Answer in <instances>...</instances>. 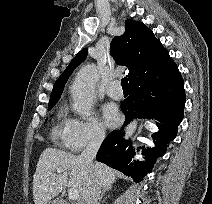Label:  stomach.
Returning a JSON list of instances; mask_svg holds the SVG:
<instances>
[{
    "label": "stomach",
    "mask_w": 212,
    "mask_h": 204,
    "mask_svg": "<svg viewBox=\"0 0 212 204\" xmlns=\"http://www.w3.org/2000/svg\"><path fill=\"white\" fill-rule=\"evenodd\" d=\"M48 204H58L56 200L50 201Z\"/></svg>",
    "instance_id": "stomach-1"
}]
</instances>
